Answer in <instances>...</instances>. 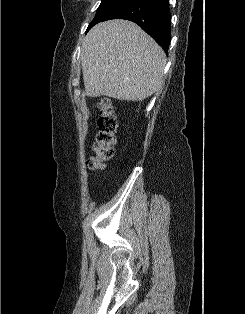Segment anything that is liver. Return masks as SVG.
I'll list each match as a JSON object with an SVG mask.
<instances>
[{"label": "liver", "mask_w": 245, "mask_h": 314, "mask_svg": "<svg viewBox=\"0 0 245 314\" xmlns=\"http://www.w3.org/2000/svg\"><path fill=\"white\" fill-rule=\"evenodd\" d=\"M80 60L89 97L142 101L162 88L166 54L131 21L95 25L82 42Z\"/></svg>", "instance_id": "6515ba94"}]
</instances>
